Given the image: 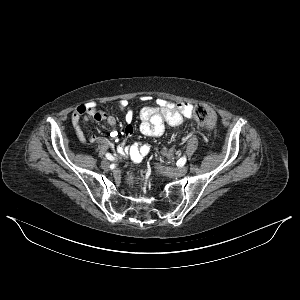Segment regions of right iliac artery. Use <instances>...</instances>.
Here are the masks:
<instances>
[{
  "label": "right iliac artery",
  "mask_w": 300,
  "mask_h": 300,
  "mask_svg": "<svg viewBox=\"0 0 300 300\" xmlns=\"http://www.w3.org/2000/svg\"><path fill=\"white\" fill-rule=\"evenodd\" d=\"M106 158H107L108 160H114V157H113L110 153H107V154H106Z\"/></svg>",
  "instance_id": "82829eb1"
}]
</instances>
